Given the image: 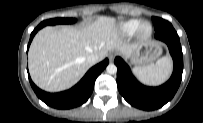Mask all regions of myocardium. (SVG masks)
Wrapping results in <instances>:
<instances>
[{"label": "myocardium", "mask_w": 203, "mask_h": 123, "mask_svg": "<svg viewBox=\"0 0 203 123\" xmlns=\"http://www.w3.org/2000/svg\"><path fill=\"white\" fill-rule=\"evenodd\" d=\"M148 28L147 31H145V28ZM153 32V27L152 25L147 22H141V24L139 25L137 31H136V35L139 39H147L152 35Z\"/></svg>", "instance_id": "f54148a6"}]
</instances>
